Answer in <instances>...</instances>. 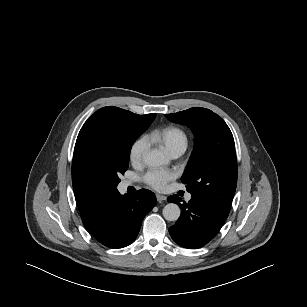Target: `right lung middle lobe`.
<instances>
[{
  "label": "right lung middle lobe",
  "mask_w": 307,
  "mask_h": 307,
  "mask_svg": "<svg viewBox=\"0 0 307 307\" xmlns=\"http://www.w3.org/2000/svg\"><path fill=\"white\" fill-rule=\"evenodd\" d=\"M155 117L144 120L107 113L92 120L77 139V162L84 183L99 192H117L133 143Z\"/></svg>",
  "instance_id": "dd1d6c3e"
}]
</instances>
